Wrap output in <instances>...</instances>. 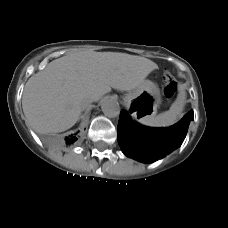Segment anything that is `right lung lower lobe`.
<instances>
[{
  "label": "right lung lower lobe",
  "instance_id": "1",
  "mask_svg": "<svg viewBox=\"0 0 228 228\" xmlns=\"http://www.w3.org/2000/svg\"><path fill=\"white\" fill-rule=\"evenodd\" d=\"M78 140V135L77 133L75 134H71L67 137H65L64 139L60 140V141H57L56 144L57 145H66V146H71L73 145L74 143H76V141Z\"/></svg>",
  "mask_w": 228,
  "mask_h": 228
}]
</instances>
